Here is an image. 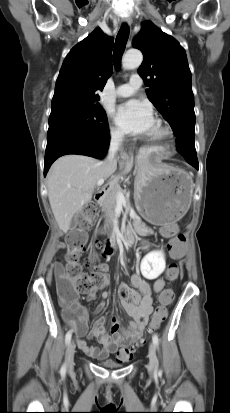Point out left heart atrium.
Masks as SVG:
<instances>
[{
    "mask_svg": "<svg viewBox=\"0 0 230 413\" xmlns=\"http://www.w3.org/2000/svg\"><path fill=\"white\" fill-rule=\"evenodd\" d=\"M115 120L124 132L133 135H147L155 126L150 106L139 100H129L121 104Z\"/></svg>",
    "mask_w": 230,
    "mask_h": 413,
    "instance_id": "obj_1",
    "label": "left heart atrium"
}]
</instances>
